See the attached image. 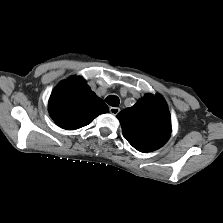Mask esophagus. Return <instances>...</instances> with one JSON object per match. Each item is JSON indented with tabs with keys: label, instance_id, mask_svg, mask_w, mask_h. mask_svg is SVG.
<instances>
[{
	"label": "esophagus",
	"instance_id": "obj_1",
	"mask_svg": "<svg viewBox=\"0 0 223 223\" xmlns=\"http://www.w3.org/2000/svg\"><path fill=\"white\" fill-rule=\"evenodd\" d=\"M109 111L112 115H117L120 112V109L118 107H110Z\"/></svg>",
	"mask_w": 223,
	"mask_h": 223
}]
</instances>
